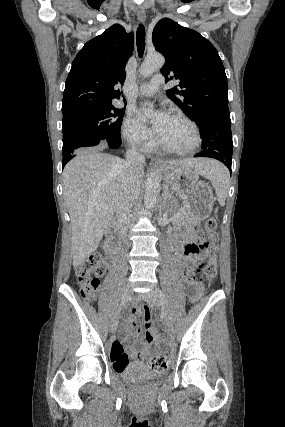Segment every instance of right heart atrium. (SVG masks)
<instances>
[{
  "mask_svg": "<svg viewBox=\"0 0 285 427\" xmlns=\"http://www.w3.org/2000/svg\"><path fill=\"white\" fill-rule=\"evenodd\" d=\"M125 140L135 148L150 149L153 139L147 128L132 116H127L123 124Z\"/></svg>",
  "mask_w": 285,
  "mask_h": 427,
  "instance_id": "1",
  "label": "right heart atrium"
}]
</instances>
